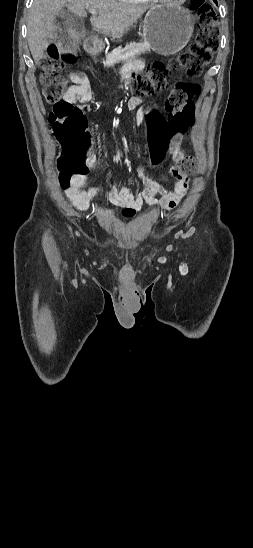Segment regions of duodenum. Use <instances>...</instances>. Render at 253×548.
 <instances>
[{
	"instance_id": "obj_1",
	"label": "duodenum",
	"mask_w": 253,
	"mask_h": 548,
	"mask_svg": "<svg viewBox=\"0 0 253 548\" xmlns=\"http://www.w3.org/2000/svg\"><path fill=\"white\" fill-rule=\"evenodd\" d=\"M88 49L90 50V52L92 54H97L98 53V49H97V46L96 44L93 42V41H90L88 43Z\"/></svg>"
}]
</instances>
